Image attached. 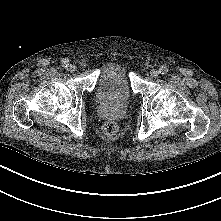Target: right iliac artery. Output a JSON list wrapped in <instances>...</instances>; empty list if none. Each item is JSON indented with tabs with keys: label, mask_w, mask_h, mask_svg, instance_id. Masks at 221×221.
<instances>
[{
	"label": "right iliac artery",
	"mask_w": 221,
	"mask_h": 221,
	"mask_svg": "<svg viewBox=\"0 0 221 221\" xmlns=\"http://www.w3.org/2000/svg\"><path fill=\"white\" fill-rule=\"evenodd\" d=\"M63 67L67 68L69 66V61L67 59L62 61Z\"/></svg>",
	"instance_id": "82829eb1"
}]
</instances>
